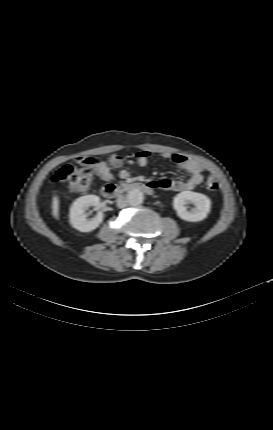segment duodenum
Returning <instances> with one entry per match:
<instances>
[{
	"label": "duodenum",
	"mask_w": 273,
	"mask_h": 430,
	"mask_svg": "<svg viewBox=\"0 0 273 430\" xmlns=\"http://www.w3.org/2000/svg\"><path fill=\"white\" fill-rule=\"evenodd\" d=\"M133 190L151 194L153 192V185L151 183L133 182V183L117 186L113 183H108L102 187L101 194L105 198L112 199V198L118 197L119 195L125 192L133 191Z\"/></svg>",
	"instance_id": "duodenum-1"
}]
</instances>
